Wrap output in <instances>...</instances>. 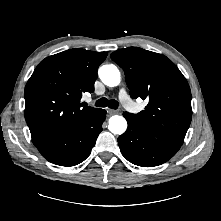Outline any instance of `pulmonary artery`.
Instances as JSON below:
<instances>
[{
  "instance_id": "1",
  "label": "pulmonary artery",
  "mask_w": 221,
  "mask_h": 221,
  "mask_svg": "<svg viewBox=\"0 0 221 221\" xmlns=\"http://www.w3.org/2000/svg\"><path fill=\"white\" fill-rule=\"evenodd\" d=\"M119 98L125 107H127L129 110H132L133 105L131 101L129 100L128 93L124 87H122L119 91Z\"/></svg>"
}]
</instances>
